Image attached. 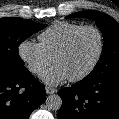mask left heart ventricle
I'll use <instances>...</instances> for the list:
<instances>
[{
  "label": "left heart ventricle",
  "mask_w": 119,
  "mask_h": 119,
  "mask_svg": "<svg viewBox=\"0 0 119 119\" xmlns=\"http://www.w3.org/2000/svg\"><path fill=\"white\" fill-rule=\"evenodd\" d=\"M99 38L96 32H82L73 43L71 49L57 59L55 65L61 67L69 78L84 72L96 57Z\"/></svg>",
  "instance_id": "1"
}]
</instances>
